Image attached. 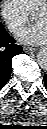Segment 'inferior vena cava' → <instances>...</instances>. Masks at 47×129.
<instances>
[{"label": "inferior vena cava", "instance_id": "inferior-vena-cava-1", "mask_svg": "<svg viewBox=\"0 0 47 129\" xmlns=\"http://www.w3.org/2000/svg\"><path fill=\"white\" fill-rule=\"evenodd\" d=\"M8 28L10 31H13L16 28V26L14 24H9Z\"/></svg>", "mask_w": 47, "mask_h": 129}]
</instances>
